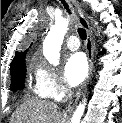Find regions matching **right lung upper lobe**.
Wrapping results in <instances>:
<instances>
[{"label": "right lung upper lobe", "instance_id": "right-lung-upper-lobe-1", "mask_svg": "<svg viewBox=\"0 0 122 123\" xmlns=\"http://www.w3.org/2000/svg\"><path fill=\"white\" fill-rule=\"evenodd\" d=\"M26 53H27V50H25L23 52L16 51L15 58L10 65V70L19 66L21 63L25 62Z\"/></svg>", "mask_w": 122, "mask_h": 123}]
</instances>
